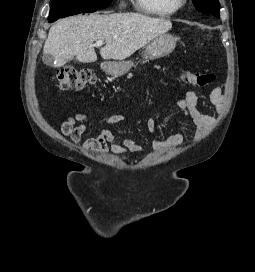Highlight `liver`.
<instances>
[{
  "label": "liver",
  "instance_id": "6515ba94",
  "mask_svg": "<svg viewBox=\"0 0 255 272\" xmlns=\"http://www.w3.org/2000/svg\"><path fill=\"white\" fill-rule=\"evenodd\" d=\"M172 23L140 13L78 15L56 22L49 30L43 54L52 56L54 67H62L74 56L83 63L97 60L93 43L105 41L100 49L103 59L123 60L169 31Z\"/></svg>",
  "mask_w": 255,
  "mask_h": 272
}]
</instances>
